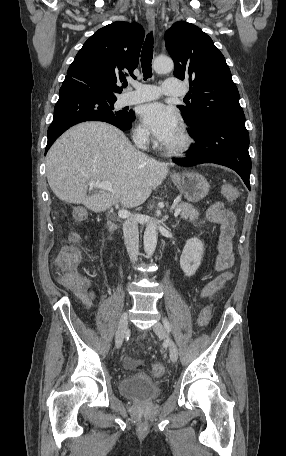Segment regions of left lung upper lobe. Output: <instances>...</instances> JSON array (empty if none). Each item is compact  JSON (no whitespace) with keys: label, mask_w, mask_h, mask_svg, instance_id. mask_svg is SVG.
<instances>
[{"label":"left lung upper lobe","mask_w":286,"mask_h":456,"mask_svg":"<svg viewBox=\"0 0 286 456\" xmlns=\"http://www.w3.org/2000/svg\"><path fill=\"white\" fill-rule=\"evenodd\" d=\"M165 43L175 77L190 84L191 102L178 108L191 129L216 119L245 124L238 89L212 39L194 24L178 21L167 30Z\"/></svg>","instance_id":"obj_1"}]
</instances>
